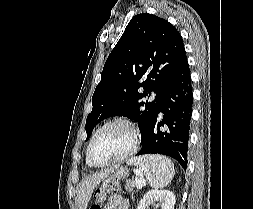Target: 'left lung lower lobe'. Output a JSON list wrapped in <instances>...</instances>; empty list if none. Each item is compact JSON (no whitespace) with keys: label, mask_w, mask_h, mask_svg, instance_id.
Segmentation results:
<instances>
[{"label":"left lung lower lobe","mask_w":253,"mask_h":209,"mask_svg":"<svg viewBox=\"0 0 253 209\" xmlns=\"http://www.w3.org/2000/svg\"><path fill=\"white\" fill-rule=\"evenodd\" d=\"M192 103L191 76L186 58L166 86L159 112L136 156L167 155L186 170Z\"/></svg>","instance_id":"left-lung-lower-lobe-1"}]
</instances>
